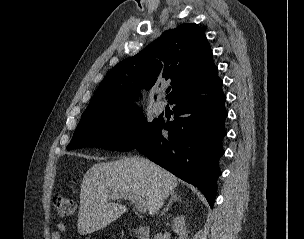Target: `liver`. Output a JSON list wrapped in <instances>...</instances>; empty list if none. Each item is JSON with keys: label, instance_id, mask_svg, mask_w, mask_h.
Wrapping results in <instances>:
<instances>
[{"label": "liver", "instance_id": "6515ba94", "mask_svg": "<svg viewBox=\"0 0 304 239\" xmlns=\"http://www.w3.org/2000/svg\"><path fill=\"white\" fill-rule=\"evenodd\" d=\"M177 184L176 176L143 157L96 163L82 180L78 232L86 235L98 231L126 211V206L109 202L112 194L136 195L154 215Z\"/></svg>", "mask_w": 304, "mask_h": 239}]
</instances>
